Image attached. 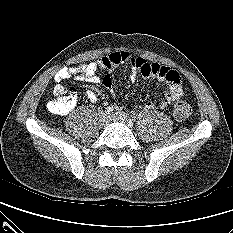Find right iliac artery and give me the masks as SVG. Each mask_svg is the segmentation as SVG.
I'll return each instance as SVG.
<instances>
[{
	"label": "right iliac artery",
	"instance_id": "obj_1",
	"mask_svg": "<svg viewBox=\"0 0 233 233\" xmlns=\"http://www.w3.org/2000/svg\"><path fill=\"white\" fill-rule=\"evenodd\" d=\"M113 110H114V108L112 106H109V107L106 108L105 112L107 114H110L111 112H113Z\"/></svg>",
	"mask_w": 233,
	"mask_h": 233
}]
</instances>
